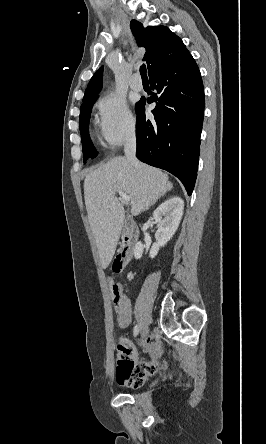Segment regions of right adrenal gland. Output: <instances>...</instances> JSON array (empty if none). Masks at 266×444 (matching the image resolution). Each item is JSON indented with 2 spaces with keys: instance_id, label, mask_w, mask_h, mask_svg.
Segmentation results:
<instances>
[{
  "instance_id": "right-adrenal-gland-1",
  "label": "right adrenal gland",
  "mask_w": 266,
  "mask_h": 444,
  "mask_svg": "<svg viewBox=\"0 0 266 444\" xmlns=\"http://www.w3.org/2000/svg\"><path fill=\"white\" fill-rule=\"evenodd\" d=\"M154 204H155V201H153L146 209H149Z\"/></svg>"
}]
</instances>
